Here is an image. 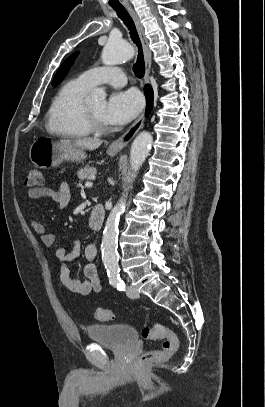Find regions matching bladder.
I'll return each instance as SVG.
<instances>
[{
    "mask_svg": "<svg viewBox=\"0 0 265 407\" xmlns=\"http://www.w3.org/2000/svg\"><path fill=\"white\" fill-rule=\"evenodd\" d=\"M86 334L90 340L114 349H123L139 339L138 331L129 325H88Z\"/></svg>",
    "mask_w": 265,
    "mask_h": 407,
    "instance_id": "1",
    "label": "bladder"
}]
</instances>
